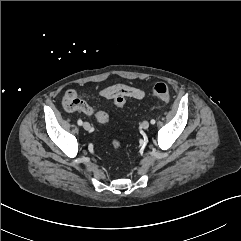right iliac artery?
<instances>
[{"mask_svg": "<svg viewBox=\"0 0 241 241\" xmlns=\"http://www.w3.org/2000/svg\"><path fill=\"white\" fill-rule=\"evenodd\" d=\"M77 124L81 126V125L83 124L82 120L79 119V120L77 121Z\"/></svg>", "mask_w": 241, "mask_h": 241, "instance_id": "82829eb1", "label": "right iliac artery"}]
</instances>
